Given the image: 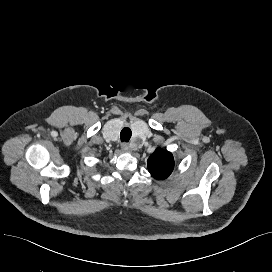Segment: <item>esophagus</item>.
<instances>
[{"instance_id":"1","label":"esophagus","mask_w":272,"mask_h":272,"mask_svg":"<svg viewBox=\"0 0 272 272\" xmlns=\"http://www.w3.org/2000/svg\"><path fill=\"white\" fill-rule=\"evenodd\" d=\"M121 149H122V151H124V152H129L130 151V145L128 144V143H123L122 145H121Z\"/></svg>"}]
</instances>
